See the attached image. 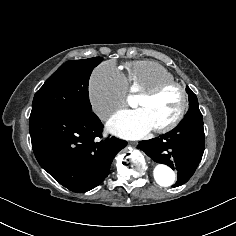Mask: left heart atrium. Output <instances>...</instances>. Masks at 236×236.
Wrapping results in <instances>:
<instances>
[{
  "label": "left heart atrium",
  "mask_w": 236,
  "mask_h": 236,
  "mask_svg": "<svg viewBox=\"0 0 236 236\" xmlns=\"http://www.w3.org/2000/svg\"><path fill=\"white\" fill-rule=\"evenodd\" d=\"M107 129L125 139H139L152 130L144 111L139 108L117 112L108 121Z\"/></svg>",
  "instance_id": "left-heart-atrium-1"
}]
</instances>
